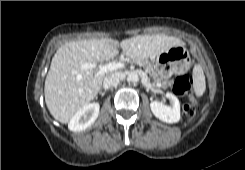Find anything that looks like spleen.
I'll use <instances>...</instances> for the list:
<instances>
[{
  "label": "spleen",
  "mask_w": 245,
  "mask_h": 170,
  "mask_svg": "<svg viewBox=\"0 0 245 170\" xmlns=\"http://www.w3.org/2000/svg\"><path fill=\"white\" fill-rule=\"evenodd\" d=\"M193 88L197 97L203 96L206 89L205 75L200 65H195L193 68Z\"/></svg>",
  "instance_id": "spleen-1"
}]
</instances>
